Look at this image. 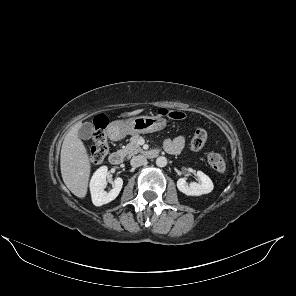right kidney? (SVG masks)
Here are the masks:
<instances>
[{"instance_id":"right-kidney-1","label":"right kidney","mask_w":296,"mask_h":296,"mask_svg":"<svg viewBox=\"0 0 296 296\" xmlns=\"http://www.w3.org/2000/svg\"><path fill=\"white\" fill-rule=\"evenodd\" d=\"M108 168L106 166H102L95 171L90 181V192L92 202L95 206H102L113 201L120 193L123 180L120 177H117L114 180L113 188L106 192L104 191V186L106 185V177H107Z\"/></svg>"}]
</instances>
